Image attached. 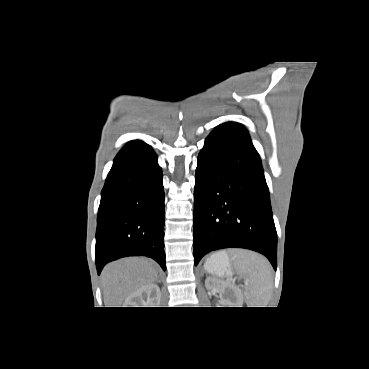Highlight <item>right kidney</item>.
<instances>
[{
  "mask_svg": "<svg viewBox=\"0 0 369 369\" xmlns=\"http://www.w3.org/2000/svg\"><path fill=\"white\" fill-rule=\"evenodd\" d=\"M160 298L159 286L157 284H149L130 294L126 298L123 307H156L160 302Z\"/></svg>",
  "mask_w": 369,
  "mask_h": 369,
  "instance_id": "obj_1",
  "label": "right kidney"
}]
</instances>
